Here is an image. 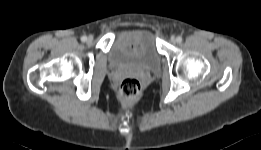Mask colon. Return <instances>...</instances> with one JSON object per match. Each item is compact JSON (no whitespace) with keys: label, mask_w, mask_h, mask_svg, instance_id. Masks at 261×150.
<instances>
[{"label":"colon","mask_w":261,"mask_h":150,"mask_svg":"<svg viewBox=\"0 0 261 150\" xmlns=\"http://www.w3.org/2000/svg\"><path fill=\"white\" fill-rule=\"evenodd\" d=\"M142 93L140 81L135 77H126L122 80L119 87V96L125 105L136 102Z\"/></svg>","instance_id":"5ec220e1"}]
</instances>
